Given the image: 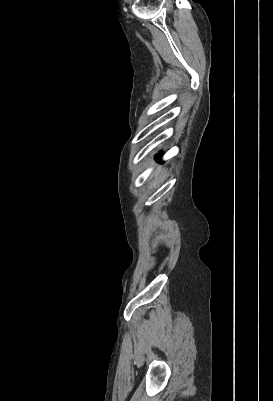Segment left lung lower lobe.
I'll return each mask as SVG.
<instances>
[{"mask_svg":"<svg viewBox=\"0 0 273 401\" xmlns=\"http://www.w3.org/2000/svg\"><path fill=\"white\" fill-rule=\"evenodd\" d=\"M159 157H160V155L157 156V161H158Z\"/></svg>","mask_w":273,"mask_h":401,"instance_id":"left-lung-lower-lobe-1","label":"left lung lower lobe"}]
</instances>
